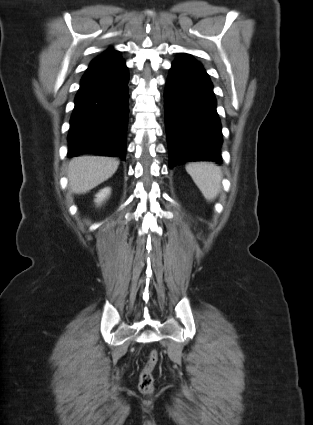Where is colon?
Returning <instances> with one entry per match:
<instances>
[{"label":"colon","instance_id":"colon-1","mask_svg":"<svg viewBox=\"0 0 313 425\" xmlns=\"http://www.w3.org/2000/svg\"><path fill=\"white\" fill-rule=\"evenodd\" d=\"M158 361V351L152 350L149 353L139 376V389L143 394H151L154 391L153 371L158 364Z\"/></svg>","mask_w":313,"mask_h":425}]
</instances>
